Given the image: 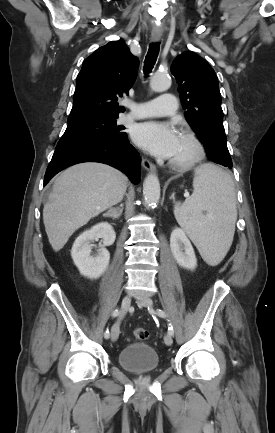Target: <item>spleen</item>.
Returning a JSON list of instances; mask_svg holds the SVG:
<instances>
[{
  "label": "spleen",
  "instance_id": "1",
  "mask_svg": "<svg viewBox=\"0 0 275 433\" xmlns=\"http://www.w3.org/2000/svg\"><path fill=\"white\" fill-rule=\"evenodd\" d=\"M194 192L174 208L179 225L212 266L227 254L237 220L236 197L231 176L213 164L196 168Z\"/></svg>",
  "mask_w": 275,
  "mask_h": 433
}]
</instances>
